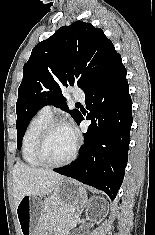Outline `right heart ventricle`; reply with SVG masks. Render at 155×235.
Listing matches in <instances>:
<instances>
[{
	"label": "right heart ventricle",
	"mask_w": 155,
	"mask_h": 235,
	"mask_svg": "<svg viewBox=\"0 0 155 235\" xmlns=\"http://www.w3.org/2000/svg\"><path fill=\"white\" fill-rule=\"evenodd\" d=\"M51 119V116L40 111L29 121L24 131L21 140V155L23 161L31 167L42 165L35 156V147L41 131Z\"/></svg>",
	"instance_id": "e07e8e85"
}]
</instances>
